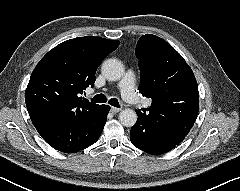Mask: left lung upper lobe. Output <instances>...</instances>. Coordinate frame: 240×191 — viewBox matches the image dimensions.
I'll list each match as a JSON object with an SVG mask.
<instances>
[{"mask_svg":"<svg viewBox=\"0 0 240 191\" xmlns=\"http://www.w3.org/2000/svg\"><path fill=\"white\" fill-rule=\"evenodd\" d=\"M139 60L140 93L152 99L149 112L156 120H196L198 86L184 58L164 39L142 36L136 46Z\"/></svg>","mask_w":240,"mask_h":191,"instance_id":"5c2ea615","label":"left lung upper lobe"}]
</instances>
